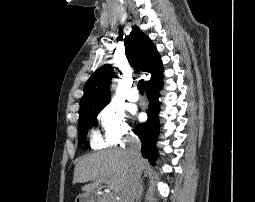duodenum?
I'll return each instance as SVG.
<instances>
[{
  "label": "duodenum",
  "mask_w": 255,
  "mask_h": 202,
  "mask_svg": "<svg viewBox=\"0 0 255 202\" xmlns=\"http://www.w3.org/2000/svg\"><path fill=\"white\" fill-rule=\"evenodd\" d=\"M84 202H94L93 196H92V195H89L88 197H86V198L84 199Z\"/></svg>",
  "instance_id": "obj_1"
}]
</instances>
